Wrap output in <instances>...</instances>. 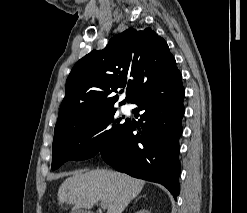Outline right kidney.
Masks as SVG:
<instances>
[{
	"label": "right kidney",
	"instance_id": "right-kidney-1",
	"mask_svg": "<svg viewBox=\"0 0 247 213\" xmlns=\"http://www.w3.org/2000/svg\"><path fill=\"white\" fill-rule=\"evenodd\" d=\"M135 213H149V211H147V210H145V209H142V210H139V211H137V212H135Z\"/></svg>",
	"mask_w": 247,
	"mask_h": 213
}]
</instances>
